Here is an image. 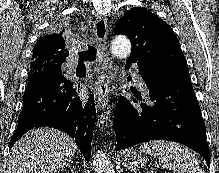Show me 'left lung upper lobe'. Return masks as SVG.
<instances>
[{"mask_svg": "<svg viewBox=\"0 0 219 173\" xmlns=\"http://www.w3.org/2000/svg\"><path fill=\"white\" fill-rule=\"evenodd\" d=\"M115 34L127 35L133 45L129 61L165 73V83L190 80L185 57L172 28L144 8H133L120 18Z\"/></svg>", "mask_w": 219, "mask_h": 173, "instance_id": "obj_1", "label": "left lung upper lobe"}]
</instances>
